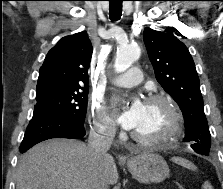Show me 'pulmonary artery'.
<instances>
[{"label":"pulmonary artery","mask_w":223,"mask_h":189,"mask_svg":"<svg viewBox=\"0 0 223 189\" xmlns=\"http://www.w3.org/2000/svg\"><path fill=\"white\" fill-rule=\"evenodd\" d=\"M142 80V72L139 68H131L127 73L115 76L111 79L112 83L121 87H133Z\"/></svg>","instance_id":"obj_1"}]
</instances>
